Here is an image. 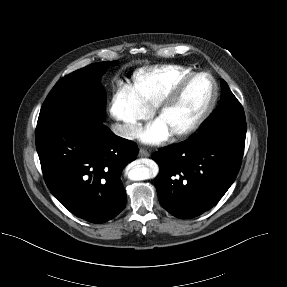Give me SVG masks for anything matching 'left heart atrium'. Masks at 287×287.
<instances>
[{
	"label": "left heart atrium",
	"mask_w": 287,
	"mask_h": 287,
	"mask_svg": "<svg viewBox=\"0 0 287 287\" xmlns=\"http://www.w3.org/2000/svg\"><path fill=\"white\" fill-rule=\"evenodd\" d=\"M168 133L167 128L159 121H156L146 128L141 139L150 144L159 143L167 138Z\"/></svg>",
	"instance_id": "obj_1"
}]
</instances>
